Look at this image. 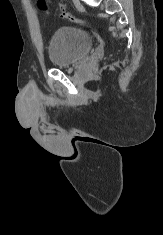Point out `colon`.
<instances>
[{
	"label": "colon",
	"instance_id": "obj_1",
	"mask_svg": "<svg viewBox=\"0 0 163 235\" xmlns=\"http://www.w3.org/2000/svg\"><path fill=\"white\" fill-rule=\"evenodd\" d=\"M40 2V6L43 9H47V4L45 0H39ZM58 12L60 14L61 17L70 20V21H74V22H83V20H81L80 18L74 16L72 13H70L69 11H67L65 8L63 7H59Z\"/></svg>",
	"mask_w": 163,
	"mask_h": 235
}]
</instances>
